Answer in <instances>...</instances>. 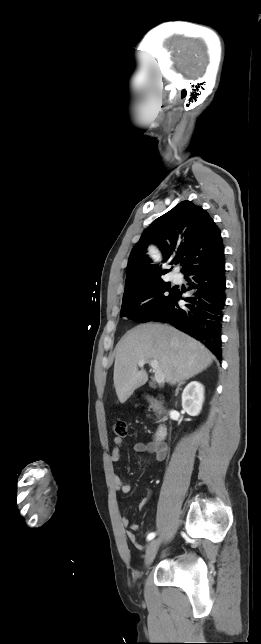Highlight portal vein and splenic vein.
Here are the masks:
<instances>
[{"label": "portal vein and splenic vein", "instance_id": "obj_1", "mask_svg": "<svg viewBox=\"0 0 261 644\" xmlns=\"http://www.w3.org/2000/svg\"><path fill=\"white\" fill-rule=\"evenodd\" d=\"M146 362H149L150 366L153 368V371H154V373H155V381H156L158 384H160V383L164 382V377H165V376H164V374L161 372V370H160V368H159V363H158V361H157V360H150V361H146L145 359H141V360H139V361H138V365H139L140 367H142V366H144V364H145Z\"/></svg>", "mask_w": 261, "mask_h": 644}]
</instances>
